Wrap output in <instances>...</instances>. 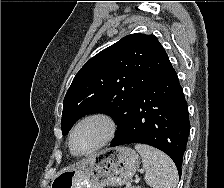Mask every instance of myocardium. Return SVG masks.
I'll return each instance as SVG.
<instances>
[{"mask_svg":"<svg viewBox=\"0 0 224 188\" xmlns=\"http://www.w3.org/2000/svg\"><path fill=\"white\" fill-rule=\"evenodd\" d=\"M90 120H100L102 121L105 126H106V134L104 136V138L91 150H89L88 152L85 153H76L73 150V137L77 131V129L85 122L90 121ZM117 132V123L115 121V119L104 112H94V113H90L86 116H84L83 118H81L73 127L70 136H69V149L71 151V153L74 156H88L91 155L93 153H95L96 151L100 150L101 148H103L104 146H106L108 143H110L112 141V139L115 137V134Z\"/></svg>","mask_w":224,"mask_h":188,"instance_id":"f54148a6","label":"myocardium"}]
</instances>
